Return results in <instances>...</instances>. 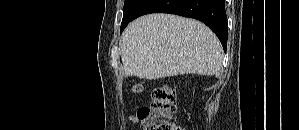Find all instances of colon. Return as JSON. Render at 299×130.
I'll return each mask as SVG.
<instances>
[{
    "mask_svg": "<svg viewBox=\"0 0 299 130\" xmlns=\"http://www.w3.org/2000/svg\"><path fill=\"white\" fill-rule=\"evenodd\" d=\"M132 91H142L140 84H135ZM176 93L170 85L156 88L152 93V102L149 107L138 111V118L142 124V130H182L175 122Z\"/></svg>",
    "mask_w": 299,
    "mask_h": 130,
    "instance_id": "1",
    "label": "colon"
}]
</instances>
